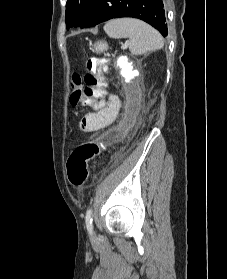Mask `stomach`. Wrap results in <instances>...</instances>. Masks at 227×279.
Masks as SVG:
<instances>
[{
	"label": "stomach",
	"instance_id": "0dacf381",
	"mask_svg": "<svg viewBox=\"0 0 227 279\" xmlns=\"http://www.w3.org/2000/svg\"><path fill=\"white\" fill-rule=\"evenodd\" d=\"M108 49V45L107 43L103 42V41H97L94 45H93V48L92 50L94 52H103V51H106Z\"/></svg>",
	"mask_w": 227,
	"mask_h": 279
}]
</instances>
